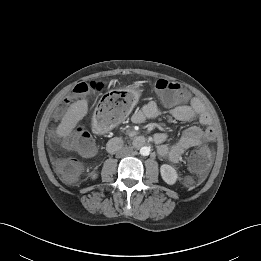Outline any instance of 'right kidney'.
Segmentation results:
<instances>
[{"instance_id": "ca27d5eb", "label": "right kidney", "mask_w": 261, "mask_h": 261, "mask_svg": "<svg viewBox=\"0 0 261 261\" xmlns=\"http://www.w3.org/2000/svg\"><path fill=\"white\" fill-rule=\"evenodd\" d=\"M97 178V174L96 173H93L92 174V179H96Z\"/></svg>"}]
</instances>
